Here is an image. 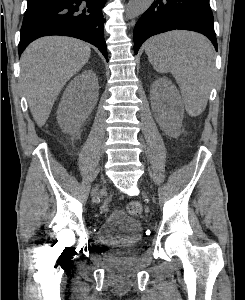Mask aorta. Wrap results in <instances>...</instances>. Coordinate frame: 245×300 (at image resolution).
<instances>
[{"label": "aorta", "mask_w": 245, "mask_h": 300, "mask_svg": "<svg viewBox=\"0 0 245 300\" xmlns=\"http://www.w3.org/2000/svg\"><path fill=\"white\" fill-rule=\"evenodd\" d=\"M152 2L153 0H129L126 8V18L134 19L140 16L150 7Z\"/></svg>", "instance_id": "1"}]
</instances>
